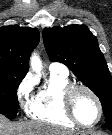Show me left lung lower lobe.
Wrapping results in <instances>:
<instances>
[{
    "label": "left lung lower lobe",
    "instance_id": "0a47b994",
    "mask_svg": "<svg viewBox=\"0 0 112 135\" xmlns=\"http://www.w3.org/2000/svg\"><path fill=\"white\" fill-rule=\"evenodd\" d=\"M102 127L108 128L112 131V120L105 122Z\"/></svg>",
    "mask_w": 112,
    "mask_h": 135
}]
</instances>
